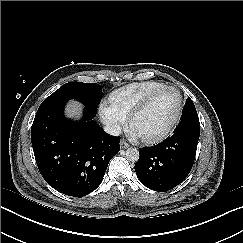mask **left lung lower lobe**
Wrapping results in <instances>:
<instances>
[{"label": "left lung lower lobe", "instance_id": "1", "mask_svg": "<svg viewBox=\"0 0 243 243\" xmlns=\"http://www.w3.org/2000/svg\"><path fill=\"white\" fill-rule=\"evenodd\" d=\"M199 136V118L189 117L181 120L175 133L164 142L140 148L135 171L141 183L158 192L179 185L191 171Z\"/></svg>", "mask_w": 243, "mask_h": 243}]
</instances>
